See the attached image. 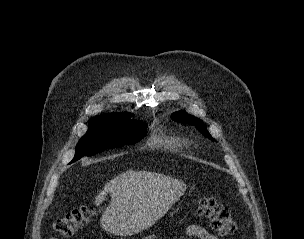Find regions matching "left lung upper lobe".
I'll return each mask as SVG.
<instances>
[{
  "label": "left lung upper lobe",
  "instance_id": "5c2ea615",
  "mask_svg": "<svg viewBox=\"0 0 304 239\" xmlns=\"http://www.w3.org/2000/svg\"><path fill=\"white\" fill-rule=\"evenodd\" d=\"M171 118H172V120H174L176 122L194 125L204 136H206L207 138H210L212 141H214V139L207 132L205 125L202 123V121L200 119H198L192 115H189V114L185 113L184 111L174 112L171 115Z\"/></svg>",
  "mask_w": 304,
  "mask_h": 239
}]
</instances>
